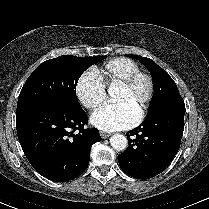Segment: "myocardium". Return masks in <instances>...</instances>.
Listing matches in <instances>:
<instances>
[{"instance_id": "obj_1", "label": "myocardium", "mask_w": 209, "mask_h": 209, "mask_svg": "<svg viewBox=\"0 0 209 209\" xmlns=\"http://www.w3.org/2000/svg\"><path fill=\"white\" fill-rule=\"evenodd\" d=\"M139 79L146 80L148 84V93L145 103L138 114L137 121H141L145 118L153 102L155 96V81L153 77L148 72L138 69L117 85L118 88L131 89Z\"/></svg>"}]
</instances>
